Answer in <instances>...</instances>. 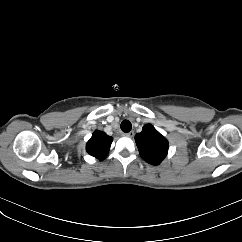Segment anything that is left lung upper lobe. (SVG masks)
Wrapping results in <instances>:
<instances>
[{"label":"left lung upper lobe","instance_id":"obj_1","mask_svg":"<svg viewBox=\"0 0 242 242\" xmlns=\"http://www.w3.org/2000/svg\"><path fill=\"white\" fill-rule=\"evenodd\" d=\"M135 141L140 156L149 164L158 165L168 153V141L151 124L135 135Z\"/></svg>","mask_w":242,"mask_h":242}]
</instances>
